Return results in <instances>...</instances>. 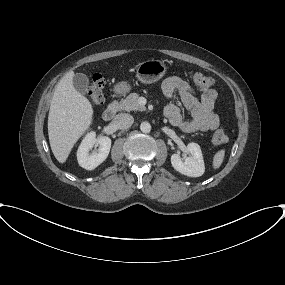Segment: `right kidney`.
I'll return each instance as SVG.
<instances>
[{
	"instance_id": "right-kidney-1",
	"label": "right kidney",
	"mask_w": 285,
	"mask_h": 285,
	"mask_svg": "<svg viewBox=\"0 0 285 285\" xmlns=\"http://www.w3.org/2000/svg\"><path fill=\"white\" fill-rule=\"evenodd\" d=\"M94 145H98L96 151H92ZM111 148V139L107 136L96 138L95 132H89L82 140L78 151L79 165L86 170H93L106 160Z\"/></svg>"
}]
</instances>
